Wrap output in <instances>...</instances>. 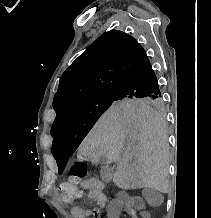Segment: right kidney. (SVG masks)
<instances>
[{
  "mask_svg": "<svg viewBox=\"0 0 211 218\" xmlns=\"http://www.w3.org/2000/svg\"><path fill=\"white\" fill-rule=\"evenodd\" d=\"M118 201H112V206H108V217L110 218H139L136 211H140L138 202H142V197H131V193H116Z\"/></svg>",
  "mask_w": 211,
  "mask_h": 218,
  "instance_id": "right-kidney-1",
  "label": "right kidney"
}]
</instances>
